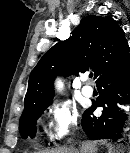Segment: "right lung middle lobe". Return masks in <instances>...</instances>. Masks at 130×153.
<instances>
[{"label": "right lung middle lobe", "instance_id": "obj_1", "mask_svg": "<svg viewBox=\"0 0 130 153\" xmlns=\"http://www.w3.org/2000/svg\"><path fill=\"white\" fill-rule=\"evenodd\" d=\"M48 105L49 103L41 104L23 112L19 122V130L23 138H27L28 136L33 138L35 136L37 119Z\"/></svg>", "mask_w": 130, "mask_h": 153}]
</instances>
